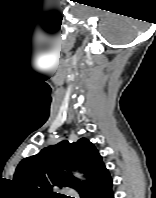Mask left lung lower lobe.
<instances>
[{
    "instance_id": "obj_1",
    "label": "left lung lower lobe",
    "mask_w": 156,
    "mask_h": 198,
    "mask_svg": "<svg viewBox=\"0 0 156 198\" xmlns=\"http://www.w3.org/2000/svg\"><path fill=\"white\" fill-rule=\"evenodd\" d=\"M113 181L106 170L94 184L82 190L79 194L81 198H114L112 190Z\"/></svg>"
}]
</instances>
